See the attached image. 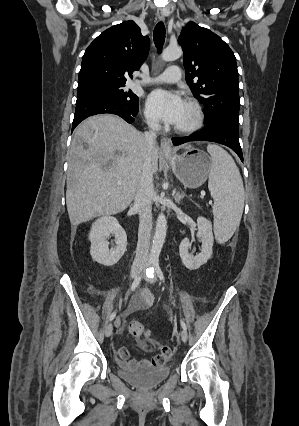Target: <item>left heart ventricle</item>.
I'll list each match as a JSON object with an SVG mask.
<instances>
[{
	"label": "left heart ventricle",
	"mask_w": 299,
	"mask_h": 426,
	"mask_svg": "<svg viewBox=\"0 0 299 426\" xmlns=\"http://www.w3.org/2000/svg\"><path fill=\"white\" fill-rule=\"evenodd\" d=\"M194 120V110L191 106L185 103L184 110L180 121L176 124L178 127L189 126Z\"/></svg>",
	"instance_id": "obj_1"
}]
</instances>
